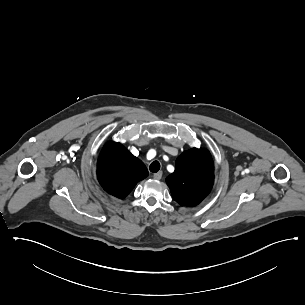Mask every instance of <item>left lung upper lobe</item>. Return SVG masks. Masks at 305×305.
<instances>
[{"mask_svg": "<svg viewBox=\"0 0 305 305\" xmlns=\"http://www.w3.org/2000/svg\"><path fill=\"white\" fill-rule=\"evenodd\" d=\"M166 183L173 199L181 206L198 205L210 193L214 183V164L209 151L193 148L183 152Z\"/></svg>", "mask_w": 305, "mask_h": 305, "instance_id": "1", "label": "left lung upper lobe"}]
</instances>
